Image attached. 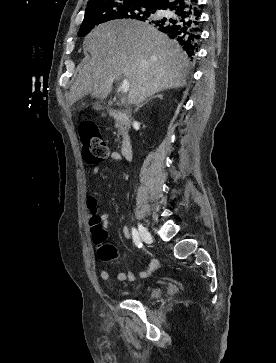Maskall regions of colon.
<instances>
[{
    "instance_id": "colon-1",
    "label": "colon",
    "mask_w": 276,
    "mask_h": 363,
    "mask_svg": "<svg viewBox=\"0 0 276 363\" xmlns=\"http://www.w3.org/2000/svg\"><path fill=\"white\" fill-rule=\"evenodd\" d=\"M82 141V150L85 159L91 163L103 161L108 154L106 142L99 132L97 126L92 122H84L79 128ZM93 239L97 244H103L106 240V231L96 218L91 219ZM99 257L104 260L116 258L117 251L113 245L105 244L98 250Z\"/></svg>"
}]
</instances>
